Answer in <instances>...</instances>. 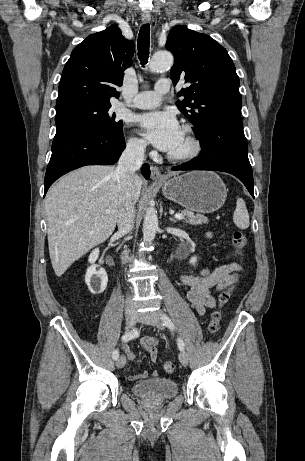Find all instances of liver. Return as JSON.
<instances>
[{
	"instance_id": "liver-1",
	"label": "liver",
	"mask_w": 305,
	"mask_h": 461,
	"mask_svg": "<svg viewBox=\"0 0 305 461\" xmlns=\"http://www.w3.org/2000/svg\"><path fill=\"white\" fill-rule=\"evenodd\" d=\"M142 179L135 175L132 194L140 196ZM120 190L111 166H84L61 178L47 193L48 246L56 276L114 232Z\"/></svg>"
}]
</instances>
